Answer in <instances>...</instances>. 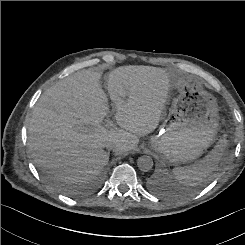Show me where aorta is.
<instances>
[{
	"instance_id": "762f6f07",
	"label": "aorta",
	"mask_w": 245,
	"mask_h": 245,
	"mask_svg": "<svg viewBox=\"0 0 245 245\" xmlns=\"http://www.w3.org/2000/svg\"><path fill=\"white\" fill-rule=\"evenodd\" d=\"M137 166L139 170L143 172H148L153 167V159L150 156L143 155L138 158L137 160Z\"/></svg>"
}]
</instances>
